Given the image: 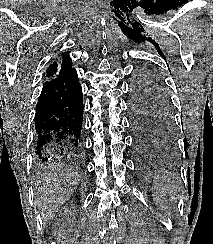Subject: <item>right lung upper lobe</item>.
Listing matches in <instances>:
<instances>
[{"instance_id": "right-lung-upper-lobe-1", "label": "right lung upper lobe", "mask_w": 213, "mask_h": 244, "mask_svg": "<svg viewBox=\"0 0 213 244\" xmlns=\"http://www.w3.org/2000/svg\"><path fill=\"white\" fill-rule=\"evenodd\" d=\"M71 58L68 55H63L62 61L53 62L47 69V77L52 80L56 77L65 75L67 72L73 70L71 67Z\"/></svg>"}]
</instances>
